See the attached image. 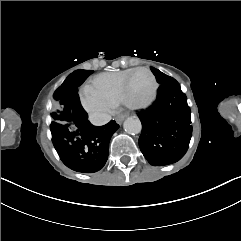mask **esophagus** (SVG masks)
<instances>
[{"label": "esophagus", "instance_id": "1", "mask_svg": "<svg viewBox=\"0 0 241 241\" xmlns=\"http://www.w3.org/2000/svg\"><path fill=\"white\" fill-rule=\"evenodd\" d=\"M128 115L127 114H123V115H120V116H117L116 117V122L117 124L121 125L123 120L127 117Z\"/></svg>", "mask_w": 241, "mask_h": 241}]
</instances>
